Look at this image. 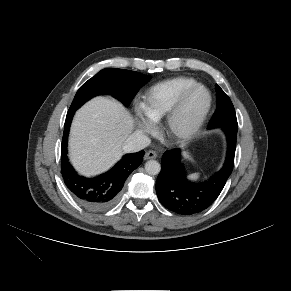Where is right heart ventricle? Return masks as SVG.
I'll use <instances>...</instances> for the list:
<instances>
[{"label": "right heart ventricle", "instance_id": "1", "mask_svg": "<svg viewBox=\"0 0 291 291\" xmlns=\"http://www.w3.org/2000/svg\"><path fill=\"white\" fill-rule=\"evenodd\" d=\"M198 84L192 77H176L150 87L143 96L142 110L153 122L161 121L169 113L179 97L190 87Z\"/></svg>", "mask_w": 291, "mask_h": 291}]
</instances>
